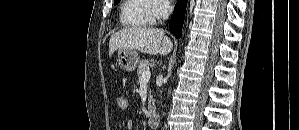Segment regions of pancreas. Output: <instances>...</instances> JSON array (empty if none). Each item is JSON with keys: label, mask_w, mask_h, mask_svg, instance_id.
Listing matches in <instances>:
<instances>
[{"label": "pancreas", "mask_w": 299, "mask_h": 130, "mask_svg": "<svg viewBox=\"0 0 299 130\" xmlns=\"http://www.w3.org/2000/svg\"><path fill=\"white\" fill-rule=\"evenodd\" d=\"M149 70V61L148 60H141L137 69V75L140 80L141 75ZM151 103H153V98L149 96V107H151Z\"/></svg>", "instance_id": "pancreas-1"}]
</instances>
